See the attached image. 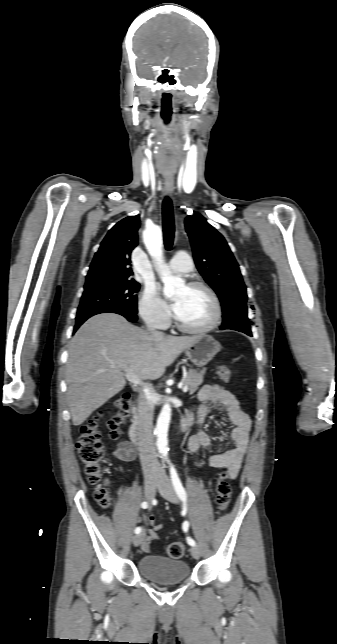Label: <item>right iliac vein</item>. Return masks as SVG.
Here are the masks:
<instances>
[{"label":"right iliac vein","instance_id":"63e3f726","mask_svg":"<svg viewBox=\"0 0 337 644\" xmlns=\"http://www.w3.org/2000/svg\"><path fill=\"white\" fill-rule=\"evenodd\" d=\"M158 481L159 479L157 476L151 475L146 477L144 492H145V497L148 501H152V499L154 498ZM144 536H145L144 532L135 535L133 537L134 546H139L142 540L144 539Z\"/></svg>","mask_w":337,"mask_h":644}]
</instances>
